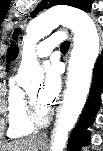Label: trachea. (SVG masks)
Listing matches in <instances>:
<instances>
[{"mask_svg": "<svg viewBox=\"0 0 103 151\" xmlns=\"http://www.w3.org/2000/svg\"><path fill=\"white\" fill-rule=\"evenodd\" d=\"M69 46H70V42L69 41H64L62 44H61V51H66L69 49Z\"/></svg>", "mask_w": 103, "mask_h": 151, "instance_id": "obj_1", "label": "trachea"}]
</instances>
